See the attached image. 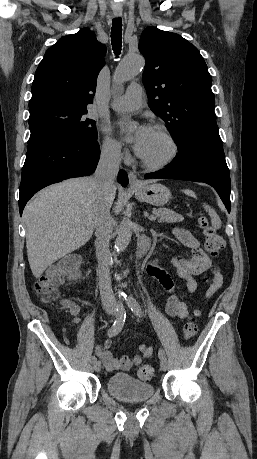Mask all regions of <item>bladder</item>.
I'll list each match as a JSON object with an SVG mask.
<instances>
[{
  "instance_id": "1",
  "label": "bladder",
  "mask_w": 257,
  "mask_h": 459,
  "mask_svg": "<svg viewBox=\"0 0 257 459\" xmlns=\"http://www.w3.org/2000/svg\"><path fill=\"white\" fill-rule=\"evenodd\" d=\"M110 395L124 402H143L154 395L151 384L139 381L128 373H115L107 381Z\"/></svg>"
}]
</instances>
